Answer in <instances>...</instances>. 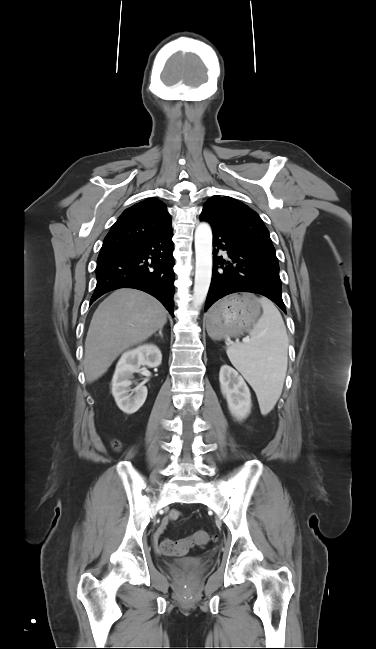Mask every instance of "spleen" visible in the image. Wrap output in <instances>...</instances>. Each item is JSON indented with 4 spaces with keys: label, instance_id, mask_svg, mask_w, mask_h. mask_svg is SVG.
<instances>
[{
    "label": "spleen",
    "instance_id": "spleen-1",
    "mask_svg": "<svg viewBox=\"0 0 376 649\" xmlns=\"http://www.w3.org/2000/svg\"><path fill=\"white\" fill-rule=\"evenodd\" d=\"M263 314L250 331L251 341L227 346L233 366L252 385L260 411L269 413L279 399L287 371L288 336L282 316L266 298Z\"/></svg>",
    "mask_w": 376,
    "mask_h": 649
}]
</instances>
